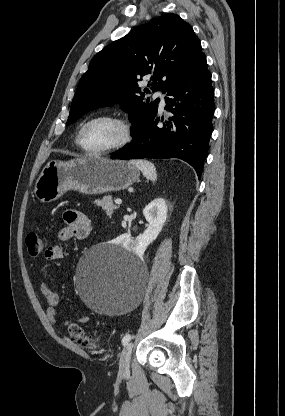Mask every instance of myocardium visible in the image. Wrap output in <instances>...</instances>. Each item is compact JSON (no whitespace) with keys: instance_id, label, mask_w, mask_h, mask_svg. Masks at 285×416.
Wrapping results in <instances>:
<instances>
[{"instance_id":"1","label":"myocardium","mask_w":285,"mask_h":416,"mask_svg":"<svg viewBox=\"0 0 285 416\" xmlns=\"http://www.w3.org/2000/svg\"><path fill=\"white\" fill-rule=\"evenodd\" d=\"M97 120H107L116 124L120 130V139L119 141L112 147L104 149V150H90L86 148L82 142V134L84 129L92 122ZM131 139V129L128 123L119 116L112 115V114H98L89 118L80 128L77 134V145L79 148L87 155L90 156H107L114 153H117L123 150L130 142Z\"/></svg>"}]
</instances>
